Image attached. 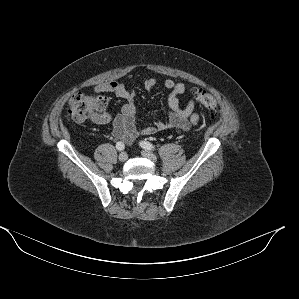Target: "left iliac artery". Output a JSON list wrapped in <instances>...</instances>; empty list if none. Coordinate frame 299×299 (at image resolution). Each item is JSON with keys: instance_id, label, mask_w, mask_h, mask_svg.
I'll return each instance as SVG.
<instances>
[{"instance_id": "obj_1", "label": "left iliac artery", "mask_w": 299, "mask_h": 299, "mask_svg": "<svg viewBox=\"0 0 299 299\" xmlns=\"http://www.w3.org/2000/svg\"><path fill=\"white\" fill-rule=\"evenodd\" d=\"M140 145L142 148L147 149V150H155V147L153 144L147 141H141Z\"/></svg>"}]
</instances>
